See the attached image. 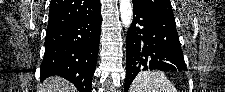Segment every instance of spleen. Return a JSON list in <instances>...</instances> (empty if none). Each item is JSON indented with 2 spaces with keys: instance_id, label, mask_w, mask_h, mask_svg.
I'll use <instances>...</instances> for the list:
<instances>
[{
  "instance_id": "3e777b00",
  "label": "spleen",
  "mask_w": 225,
  "mask_h": 92,
  "mask_svg": "<svg viewBox=\"0 0 225 92\" xmlns=\"http://www.w3.org/2000/svg\"><path fill=\"white\" fill-rule=\"evenodd\" d=\"M129 92H177L161 71L140 72L132 82Z\"/></svg>"
}]
</instances>
